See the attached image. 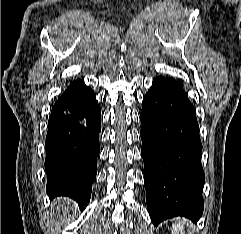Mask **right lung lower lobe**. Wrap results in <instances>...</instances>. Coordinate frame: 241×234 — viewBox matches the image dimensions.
Listing matches in <instances>:
<instances>
[{
    "label": "right lung lower lobe",
    "instance_id": "98d812e1",
    "mask_svg": "<svg viewBox=\"0 0 241 234\" xmlns=\"http://www.w3.org/2000/svg\"><path fill=\"white\" fill-rule=\"evenodd\" d=\"M101 111L94 92L74 80L52 108L46 136L47 194L68 196L81 210L97 173Z\"/></svg>",
    "mask_w": 241,
    "mask_h": 234
}]
</instances>
